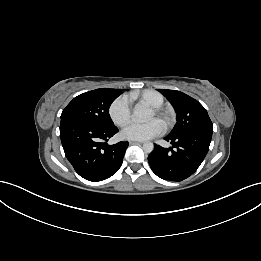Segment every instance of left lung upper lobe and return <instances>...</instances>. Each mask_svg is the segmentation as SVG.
Instances as JSON below:
<instances>
[{"label": "left lung upper lobe", "instance_id": "obj_1", "mask_svg": "<svg viewBox=\"0 0 261 261\" xmlns=\"http://www.w3.org/2000/svg\"><path fill=\"white\" fill-rule=\"evenodd\" d=\"M174 106L177 123L169 135L196 130L213 131L206 109L195 99L176 90L158 89Z\"/></svg>", "mask_w": 261, "mask_h": 261}]
</instances>
